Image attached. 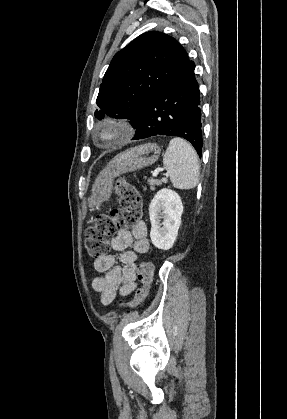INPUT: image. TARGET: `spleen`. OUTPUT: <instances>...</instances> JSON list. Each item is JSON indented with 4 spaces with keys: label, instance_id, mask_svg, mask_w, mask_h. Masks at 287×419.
Instances as JSON below:
<instances>
[{
    "label": "spleen",
    "instance_id": "obj_1",
    "mask_svg": "<svg viewBox=\"0 0 287 419\" xmlns=\"http://www.w3.org/2000/svg\"><path fill=\"white\" fill-rule=\"evenodd\" d=\"M163 166L177 189L197 186L200 174L198 156L193 147L182 138H173L163 157Z\"/></svg>",
    "mask_w": 287,
    "mask_h": 419
}]
</instances>
